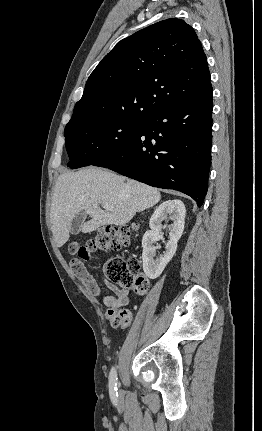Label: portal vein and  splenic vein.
Masks as SVG:
<instances>
[{"instance_id":"portal-vein-and-splenic-vein-1","label":"portal vein and splenic vein","mask_w":262,"mask_h":431,"mask_svg":"<svg viewBox=\"0 0 262 431\" xmlns=\"http://www.w3.org/2000/svg\"><path fill=\"white\" fill-rule=\"evenodd\" d=\"M101 205L104 209H106L108 211L114 210V208L110 204H108L107 202H102Z\"/></svg>"}]
</instances>
